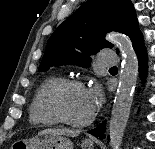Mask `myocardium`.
Returning a JSON list of instances; mask_svg holds the SVG:
<instances>
[{
	"label": "myocardium",
	"instance_id": "1",
	"mask_svg": "<svg viewBox=\"0 0 155 149\" xmlns=\"http://www.w3.org/2000/svg\"><path fill=\"white\" fill-rule=\"evenodd\" d=\"M72 87L85 89L84 84L77 79H61L55 83L47 93L46 103L49 111L55 116V118L66 125L73 127H84L91 124L95 118L93 112L87 119L82 121H75L66 116L61 107V95L62 93Z\"/></svg>",
	"mask_w": 155,
	"mask_h": 149
}]
</instances>
